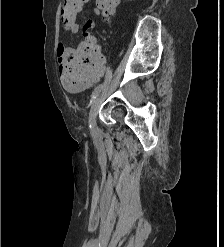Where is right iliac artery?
Segmentation results:
<instances>
[{
  "label": "right iliac artery",
  "instance_id": "1",
  "mask_svg": "<svg viewBox=\"0 0 224 247\" xmlns=\"http://www.w3.org/2000/svg\"><path fill=\"white\" fill-rule=\"evenodd\" d=\"M101 89H102V85H101V84L98 85V86L94 89V91L92 92V95H91L90 104L96 99V97H97L98 94L100 93ZM89 127H90V128L92 127L91 124L89 125Z\"/></svg>",
  "mask_w": 224,
  "mask_h": 247
}]
</instances>
